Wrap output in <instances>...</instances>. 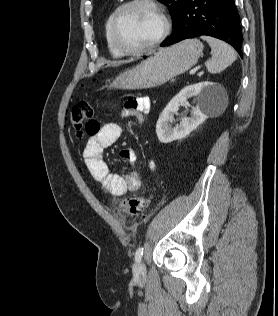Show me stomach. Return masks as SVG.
Here are the masks:
<instances>
[{
    "label": "stomach",
    "mask_w": 278,
    "mask_h": 316,
    "mask_svg": "<svg viewBox=\"0 0 278 316\" xmlns=\"http://www.w3.org/2000/svg\"><path fill=\"white\" fill-rule=\"evenodd\" d=\"M203 45L188 39L166 49L154 51L137 66L119 74L113 86L119 89H147L160 86L192 68L202 55Z\"/></svg>",
    "instance_id": "0dacf381"
}]
</instances>
